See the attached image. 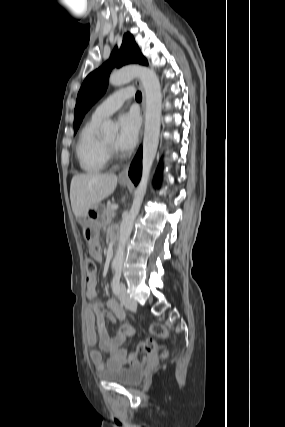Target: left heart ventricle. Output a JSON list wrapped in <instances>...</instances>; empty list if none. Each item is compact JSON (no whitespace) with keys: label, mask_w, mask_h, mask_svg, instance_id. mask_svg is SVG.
I'll return each instance as SVG.
<instances>
[{"label":"left heart ventricle","mask_w":285,"mask_h":427,"mask_svg":"<svg viewBox=\"0 0 285 427\" xmlns=\"http://www.w3.org/2000/svg\"><path fill=\"white\" fill-rule=\"evenodd\" d=\"M116 135H111V136H109V137H106L105 138V140L108 142V143H110L111 145H114L115 146V143H116Z\"/></svg>","instance_id":"b2bd125f"}]
</instances>
